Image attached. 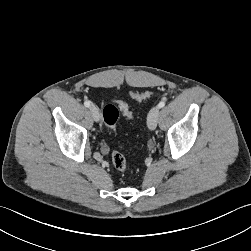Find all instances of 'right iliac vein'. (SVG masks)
<instances>
[{
    "label": "right iliac vein",
    "instance_id": "obj_1",
    "mask_svg": "<svg viewBox=\"0 0 251 251\" xmlns=\"http://www.w3.org/2000/svg\"><path fill=\"white\" fill-rule=\"evenodd\" d=\"M90 110V114L92 116V118L94 119V121L98 122L100 120V115H99V111L95 106H90L89 108Z\"/></svg>",
    "mask_w": 251,
    "mask_h": 251
}]
</instances>
